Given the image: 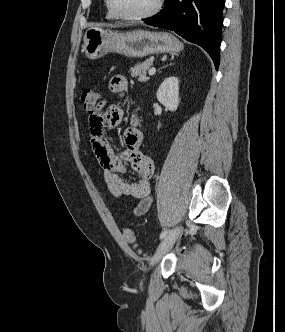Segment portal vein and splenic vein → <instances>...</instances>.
I'll return each instance as SVG.
<instances>
[{
    "label": "portal vein and splenic vein",
    "mask_w": 285,
    "mask_h": 332,
    "mask_svg": "<svg viewBox=\"0 0 285 332\" xmlns=\"http://www.w3.org/2000/svg\"><path fill=\"white\" fill-rule=\"evenodd\" d=\"M155 72H156V69L153 67L148 71V74L153 75V74H155Z\"/></svg>",
    "instance_id": "portal-vein-and-splenic-vein-1"
}]
</instances>
